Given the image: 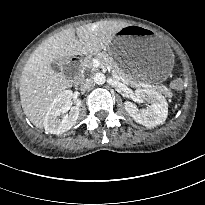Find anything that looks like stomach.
<instances>
[{
	"label": "stomach",
	"mask_w": 205,
	"mask_h": 205,
	"mask_svg": "<svg viewBox=\"0 0 205 205\" xmlns=\"http://www.w3.org/2000/svg\"><path fill=\"white\" fill-rule=\"evenodd\" d=\"M104 51L137 82H162L174 64L173 53L165 40L140 25L121 28Z\"/></svg>",
	"instance_id": "1"
}]
</instances>
